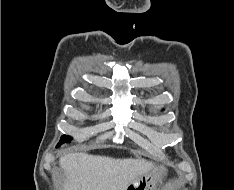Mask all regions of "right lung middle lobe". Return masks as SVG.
Masks as SVG:
<instances>
[{"label": "right lung middle lobe", "instance_id": "obj_1", "mask_svg": "<svg viewBox=\"0 0 234 190\" xmlns=\"http://www.w3.org/2000/svg\"><path fill=\"white\" fill-rule=\"evenodd\" d=\"M71 140H72V138L70 136L63 135L56 147L61 146L63 143H66V142L68 143Z\"/></svg>", "mask_w": 234, "mask_h": 190}]
</instances>
